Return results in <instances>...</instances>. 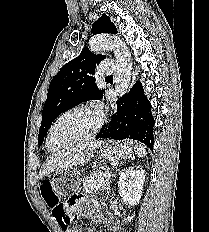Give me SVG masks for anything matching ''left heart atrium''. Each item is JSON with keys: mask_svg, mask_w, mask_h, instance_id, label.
Returning <instances> with one entry per match:
<instances>
[{"mask_svg": "<svg viewBox=\"0 0 209 232\" xmlns=\"http://www.w3.org/2000/svg\"><path fill=\"white\" fill-rule=\"evenodd\" d=\"M97 109H98V111H101V110H102V106H101V105H98V106H97Z\"/></svg>", "mask_w": 209, "mask_h": 232, "instance_id": "obj_1", "label": "left heart atrium"}]
</instances>
